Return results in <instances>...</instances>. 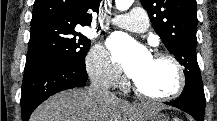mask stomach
<instances>
[{
	"label": "stomach",
	"instance_id": "0dacf381",
	"mask_svg": "<svg viewBox=\"0 0 217 121\" xmlns=\"http://www.w3.org/2000/svg\"><path fill=\"white\" fill-rule=\"evenodd\" d=\"M141 121H167V119L157 111H148L143 113Z\"/></svg>",
	"mask_w": 217,
	"mask_h": 121
}]
</instances>
